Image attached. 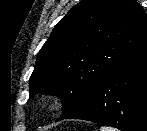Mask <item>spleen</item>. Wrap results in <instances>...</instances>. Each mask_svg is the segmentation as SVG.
<instances>
[{
  "label": "spleen",
  "mask_w": 147,
  "mask_h": 131,
  "mask_svg": "<svg viewBox=\"0 0 147 131\" xmlns=\"http://www.w3.org/2000/svg\"><path fill=\"white\" fill-rule=\"evenodd\" d=\"M100 131H117V130L108 126H102Z\"/></svg>",
  "instance_id": "1"
}]
</instances>
